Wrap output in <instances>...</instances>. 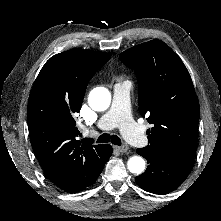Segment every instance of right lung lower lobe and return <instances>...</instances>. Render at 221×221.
<instances>
[{"label":"right lung lower lobe","instance_id":"98d812e1","mask_svg":"<svg viewBox=\"0 0 221 221\" xmlns=\"http://www.w3.org/2000/svg\"><path fill=\"white\" fill-rule=\"evenodd\" d=\"M111 155H112V147H111V145L107 144V146H106V156H105L104 165H105L106 161L110 158ZM104 165H103V167H104ZM103 167H102L101 170L99 171V173H98L96 179L99 177L100 173L102 172ZM96 179H95V181H96Z\"/></svg>","mask_w":221,"mask_h":221}]
</instances>
